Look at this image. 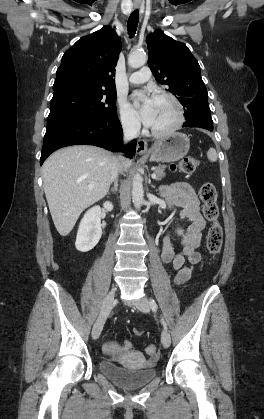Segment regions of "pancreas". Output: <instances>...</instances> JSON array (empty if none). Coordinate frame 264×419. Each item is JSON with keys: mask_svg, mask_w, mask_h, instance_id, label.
I'll list each match as a JSON object with an SVG mask.
<instances>
[{"mask_svg": "<svg viewBox=\"0 0 264 419\" xmlns=\"http://www.w3.org/2000/svg\"><path fill=\"white\" fill-rule=\"evenodd\" d=\"M164 170L165 166H161L155 169V174L157 176L156 180L160 181L165 176Z\"/></svg>", "mask_w": 264, "mask_h": 419, "instance_id": "pancreas-1", "label": "pancreas"}]
</instances>
